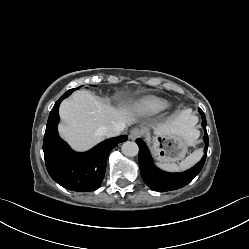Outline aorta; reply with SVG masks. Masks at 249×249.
Masks as SVG:
<instances>
[{
  "label": "aorta",
  "instance_id": "1",
  "mask_svg": "<svg viewBox=\"0 0 249 249\" xmlns=\"http://www.w3.org/2000/svg\"><path fill=\"white\" fill-rule=\"evenodd\" d=\"M121 151L125 156L133 157L138 154L139 147L135 142L127 141L123 143Z\"/></svg>",
  "mask_w": 249,
  "mask_h": 249
}]
</instances>
